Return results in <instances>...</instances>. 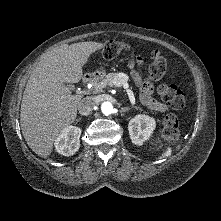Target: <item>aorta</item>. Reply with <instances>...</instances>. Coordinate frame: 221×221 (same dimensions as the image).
I'll use <instances>...</instances> for the list:
<instances>
[{
    "mask_svg": "<svg viewBox=\"0 0 221 221\" xmlns=\"http://www.w3.org/2000/svg\"><path fill=\"white\" fill-rule=\"evenodd\" d=\"M101 111L104 115H109L113 112V106L110 102H103L101 105Z\"/></svg>",
    "mask_w": 221,
    "mask_h": 221,
    "instance_id": "obj_1",
    "label": "aorta"
}]
</instances>
